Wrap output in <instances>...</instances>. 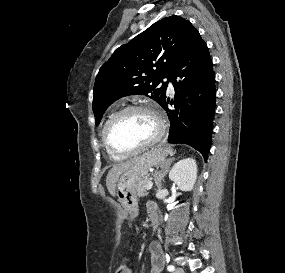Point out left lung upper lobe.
I'll use <instances>...</instances> for the list:
<instances>
[{
  "label": "left lung upper lobe",
  "instance_id": "5c2ea615",
  "mask_svg": "<svg viewBox=\"0 0 285 273\" xmlns=\"http://www.w3.org/2000/svg\"><path fill=\"white\" fill-rule=\"evenodd\" d=\"M194 30L190 21L173 15L120 46L96 76L93 91L96 125L105 110L124 96L145 95L161 105L171 74ZM163 78L168 80L159 86Z\"/></svg>",
  "mask_w": 285,
  "mask_h": 273
}]
</instances>
